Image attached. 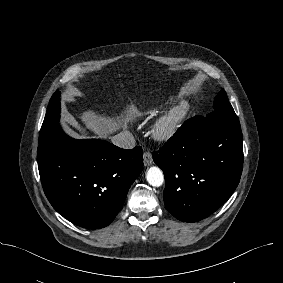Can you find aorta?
Returning a JSON list of instances; mask_svg holds the SVG:
<instances>
[{
    "label": "aorta",
    "mask_w": 283,
    "mask_h": 283,
    "mask_svg": "<svg viewBox=\"0 0 283 283\" xmlns=\"http://www.w3.org/2000/svg\"><path fill=\"white\" fill-rule=\"evenodd\" d=\"M148 183L154 187H160L164 182V175L160 168L150 167L146 173Z\"/></svg>",
    "instance_id": "aorta-1"
}]
</instances>
